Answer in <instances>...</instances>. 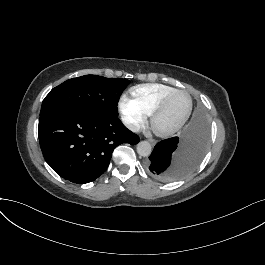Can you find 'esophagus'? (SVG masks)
Listing matches in <instances>:
<instances>
[{"label":"esophagus","mask_w":265,"mask_h":265,"mask_svg":"<svg viewBox=\"0 0 265 265\" xmlns=\"http://www.w3.org/2000/svg\"><path fill=\"white\" fill-rule=\"evenodd\" d=\"M150 143H151L152 145H155V144H156V141H155V140H152V139H150Z\"/></svg>","instance_id":"obj_1"}]
</instances>
